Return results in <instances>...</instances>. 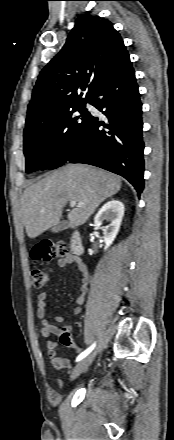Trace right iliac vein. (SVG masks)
<instances>
[{"mask_svg": "<svg viewBox=\"0 0 174 440\" xmlns=\"http://www.w3.org/2000/svg\"><path fill=\"white\" fill-rule=\"evenodd\" d=\"M96 352H93L92 354L88 355L84 359H82L74 368L72 374H71V380L77 378L82 372H84L89 365L93 362L95 358Z\"/></svg>", "mask_w": 174, "mask_h": 440, "instance_id": "obj_1", "label": "right iliac vein"}]
</instances>
